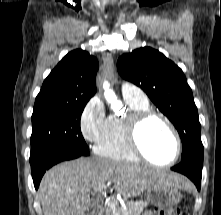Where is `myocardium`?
<instances>
[{
    "label": "myocardium",
    "mask_w": 221,
    "mask_h": 215,
    "mask_svg": "<svg viewBox=\"0 0 221 215\" xmlns=\"http://www.w3.org/2000/svg\"><path fill=\"white\" fill-rule=\"evenodd\" d=\"M152 118H157L161 120L169 129L170 133L174 138L175 153L173 158L166 163H157L153 161L146 155V153L140 145L139 137L141 129L143 128L145 123ZM124 128L128 147L132 151V153L139 159L157 167H170L178 161L182 151L181 139L172 122L162 113L155 111L151 108L132 112L125 119Z\"/></svg>",
    "instance_id": "obj_1"
}]
</instances>
